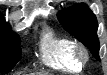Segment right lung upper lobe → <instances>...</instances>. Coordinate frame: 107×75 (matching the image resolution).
I'll use <instances>...</instances> for the list:
<instances>
[{
  "mask_svg": "<svg viewBox=\"0 0 107 75\" xmlns=\"http://www.w3.org/2000/svg\"><path fill=\"white\" fill-rule=\"evenodd\" d=\"M5 26H9L6 21L3 19V17L0 15V29L5 27Z\"/></svg>",
  "mask_w": 107,
  "mask_h": 75,
  "instance_id": "cb5924a9",
  "label": "right lung upper lobe"
}]
</instances>
